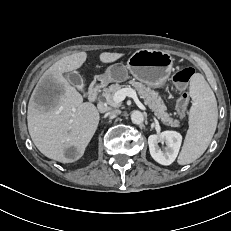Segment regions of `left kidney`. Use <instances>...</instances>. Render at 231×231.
Returning <instances> with one entry per match:
<instances>
[{
	"label": "left kidney",
	"mask_w": 231,
	"mask_h": 231,
	"mask_svg": "<svg viewBox=\"0 0 231 231\" xmlns=\"http://www.w3.org/2000/svg\"><path fill=\"white\" fill-rule=\"evenodd\" d=\"M165 143V150L162 151L158 143ZM182 136L176 131H164L160 134H153L148 137L149 151L152 158L161 165L172 164L179 152Z\"/></svg>",
	"instance_id": "left-kidney-1"
}]
</instances>
